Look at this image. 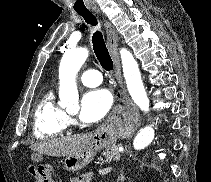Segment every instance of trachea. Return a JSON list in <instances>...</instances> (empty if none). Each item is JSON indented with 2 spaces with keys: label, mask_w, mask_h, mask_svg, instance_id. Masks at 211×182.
Listing matches in <instances>:
<instances>
[{
  "label": "trachea",
  "mask_w": 211,
  "mask_h": 182,
  "mask_svg": "<svg viewBox=\"0 0 211 182\" xmlns=\"http://www.w3.org/2000/svg\"><path fill=\"white\" fill-rule=\"evenodd\" d=\"M77 13L82 16L86 23L97 26V20L94 17V15L88 11H77ZM92 43H93V49L94 53L100 62L101 66L108 72L113 71V61L111 59V56L108 52V49L106 47L103 35L100 31H96L92 35Z\"/></svg>",
  "instance_id": "trachea-1"
}]
</instances>
